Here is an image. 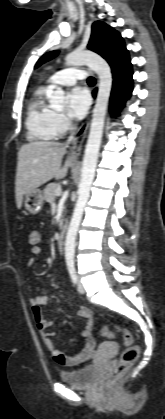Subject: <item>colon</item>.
Wrapping results in <instances>:
<instances>
[{"mask_svg":"<svg viewBox=\"0 0 165 419\" xmlns=\"http://www.w3.org/2000/svg\"><path fill=\"white\" fill-rule=\"evenodd\" d=\"M30 240L31 242L36 243L38 241L37 235L32 234L30 236ZM116 329L121 333L123 337L125 349L121 353L117 364L115 365L111 375L108 378V385H114L135 363L140 353V348L137 344H135L133 335L126 329L120 327H116ZM102 336L105 338H111L113 336V332L110 329V326H106L102 329Z\"/></svg>","mask_w":165,"mask_h":419,"instance_id":"colon-1","label":"colon"}]
</instances>
